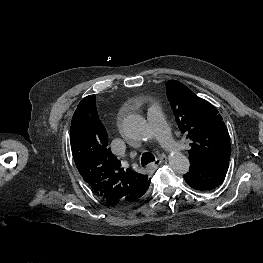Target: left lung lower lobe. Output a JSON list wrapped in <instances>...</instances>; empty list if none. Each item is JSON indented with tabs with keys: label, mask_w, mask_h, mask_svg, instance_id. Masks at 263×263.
I'll return each instance as SVG.
<instances>
[{
	"label": "left lung lower lobe",
	"mask_w": 263,
	"mask_h": 263,
	"mask_svg": "<svg viewBox=\"0 0 263 263\" xmlns=\"http://www.w3.org/2000/svg\"><path fill=\"white\" fill-rule=\"evenodd\" d=\"M228 167L229 163L225 161L214 164L190 162L189 172L184 175V179L196 190L211 191L224 181Z\"/></svg>",
	"instance_id": "left-lung-lower-lobe-1"
}]
</instances>
